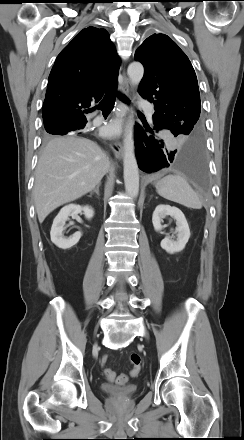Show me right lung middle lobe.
Returning <instances> with one entry per match:
<instances>
[{
    "label": "right lung middle lobe",
    "mask_w": 244,
    "mask_h": 440,
    "mask_svg": "<svg viewBox=\"0 0 244 440\" xmlns=\"http://www.w3.org/2000/svg\"><path fill=\"white\" fill-rule=\"evenodd\" d=\"M51 135H65L64 131L61 129V127H45V136L50 137Z\"/></svg>",
    "instance_id": "1"
}]
</instances>
